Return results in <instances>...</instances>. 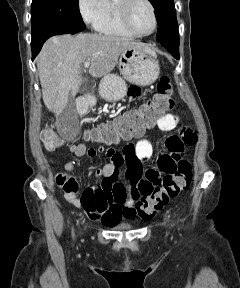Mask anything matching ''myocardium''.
<instances>
[{
	"label": "myocardium",
	"instance_id": "obj_1",
	"mask_svg": "<svg viewBox=\"0 0 240 288\" xmlns=\"http://www.w3.org/2000/svg\"><path fill=\"white\" fill-rule=\"evenodd\" d=\"M138 2L146 3L152 11V15H153V19H154V27H153V30L147 34L138 33L137 31H135V29L132 26V22H131L132 10H133L135 4ZM117 5H118L120 18H121V22H122L123 27L129 33H131L133 36H135V37H149L157 31V29H158V16H157L156 8H155V6L151 0H118Z\"/></svg>",
	"mask_w": 240,
	"mask_h": 288
}]
</instances>
